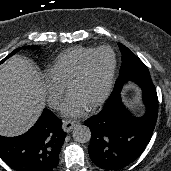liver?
Listing matches in <instances>:
<instances>
[{
    "mask_svg": "<svg viewBox=\"0 0 171 171\" xmlns=\"http://www.w3.org/2000/svg\"><path fill=\"white\" fill-rule=\"evenodd\" d=\"M33 61L14 56L0 68V135L29 130L45 107L46 89Z\"/></svg>",
    "mask_w": 171,
    "mask_h": 171,
    "instance_id": "1",
    "label": "liver"
}]
</instances>
